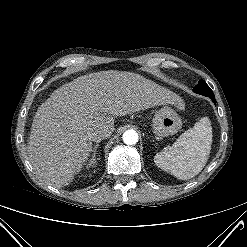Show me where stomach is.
I'll list each match as a JSON object with an SVG mask.
<instances>
[{
  "label": "stomach",
  "instance_id": "1",
  "mask_svg": "<svg viewBox=\"0 0 247 247\" xmlns=\"http://www.w3.org/2000/svg\"><path fill=\"white\" fill-rule=\"evenodd\" d=\"M181 126L180 116L171 107L164 106L154 115L152 129L159 139L176 134Z\"/></svg>",
  "mask_w": 247,
  "mask_h": 247
}]
</instances>
